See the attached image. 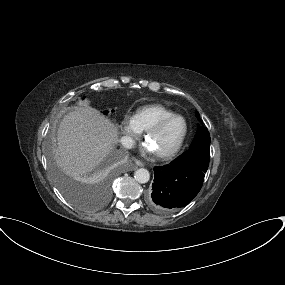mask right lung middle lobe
I'll return each instance as SVG.
<instances>
[{
	"instance_id": "right-lung-middle-lobe-1",
	"label": "right lung middle lobe",
	"mask_w": 285,
	"mask_h": 285,
	"mask_svg": "<svg viewBox=\"0 0 285 285\" xmlns=\"http://www.w3.org/2000/svg\"><path fill=\"white\" fill-rule=\"evenodd\" d=\"M107 113H108V111H104V114H107ZM50 163H51L52 170L54 172L56 181H57L60 189L64 193V195L74 204L81 206V207H87V204L83 201V199L78 194V192L75 190V188L66 179H64L60 175V173L56 169L55 164L52 160L51 154H50ZM107 185H108V182L105 183V186H107Z\"/></svg>"
}]
</instances>
